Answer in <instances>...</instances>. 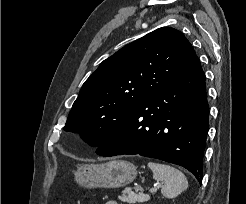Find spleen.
Instances as JSON below:
<instances>
[{
    "mask_svg": "<svg viewBox=\"0 0 246 204\" xmlns=\"http://www.w3.org/2000/svg\"><path fill=\"white\" fill-rule=\"evenodd\" d=\"M148 167L153 172V178L164 183L161 188V193L164 197H177L188 188L186 176L175 167L155 162H149Z\"/></svg>",
    "mask_w": 246,
    "mask_h": 204,
    "instance_id": "obj_1",
    "label": "spleen"
}]
</instances>
